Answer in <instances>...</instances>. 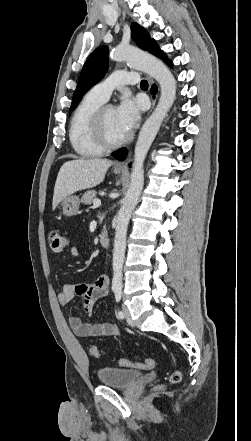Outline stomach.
Here are the masks:
<instances>
[{
	"label": "stomach",
	"mask_w": 251,
	"mask_h": 441,
	"mask_svg": "<svg viewBox=\"0 0 251 441\" xmlns=\"http://www.w3.org/2000/svg\"><path fill=\"white\" fill-rule=\"evenodd\" d=\"M122 170L114 169L115 174H120ZM59 207L62 209L63 214L67 217L77 214L79 210L80 200L75 195H69L59 202Z\"/></svg>",
	"instance_id": "obj_1"
}]
</instances>
